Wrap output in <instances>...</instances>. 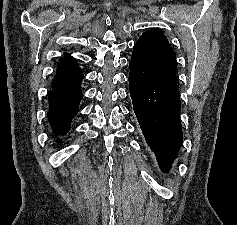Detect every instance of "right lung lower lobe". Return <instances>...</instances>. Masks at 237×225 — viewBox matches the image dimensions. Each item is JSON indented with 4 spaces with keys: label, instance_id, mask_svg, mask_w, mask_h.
<instances>
[{
    "label": "right lung lower lobe",
    "instance_id": "1",
    "mask_svg": "<svg viewBox=\"0 0 237 225\" xmlns=\"http://www.w3.org/2000/svg\"><path fill=\"white\" fill-rule=\"evenodd\" d=\"M82 97L81 83L74 86H52L48 92V119L55 135L68 133L72 118L79 111Z\"/></svg>",
    "mask_w": 237,
    "mask_h": 225
}]
</instances>
